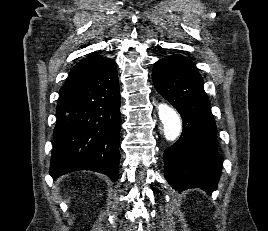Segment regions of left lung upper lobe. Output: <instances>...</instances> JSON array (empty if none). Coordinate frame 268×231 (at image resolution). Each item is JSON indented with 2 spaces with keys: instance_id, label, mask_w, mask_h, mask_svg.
Wrapping results in <instances>:
<instances>
[{
  "instance_id": "5c2ea615",
  "label": "left lung upper lobe",
  "mask_w": 268,
  "mask_h": 231,
  "mask_svg": "<svg viewBox=\"0 0 268 231\" xmlns=\"http://www.w3.org/2000/svg\"><path fill=\"white\" fill-rule=\"evenodd\" d=\"M170 57H173V58H176V59H179V60H183V61L187 62L188 64H191L192 66L195 67L194 62H192L191 60H189V59H187V58H185V57H182V56H180V55H172V56H170Z\"/></svg>"
}]
</instances>
